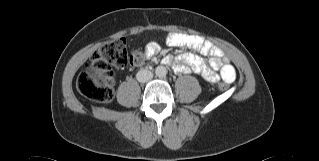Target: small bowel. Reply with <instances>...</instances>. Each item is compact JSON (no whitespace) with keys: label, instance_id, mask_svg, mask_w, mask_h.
I'll list each match as a JSON object with an SVG mask.
<instances>
[{"label":"small bowel","instance_id":"obj_1","mask_svg":"<svg viewBox=\"0 0 319 161\" xmlns=\"http://www.w3.org/2000/svg\"><path fill=\"white\" fill-rule=\"evenodd\" d=\"M167 43L171 46H187L201 55L211 56L209 65L206 64L203 58L193 53H180L174 58L166 57L164 62L171 65L175 72L189 73L193 71L212 83H216L220 79L226 82H232L234 80L236 75L234 67L224 57L223 51L211 42L197 35L170 33L167 36ZM158 50L159 46L155 41H151L146 45L148 56L157 54ZM180 64H185L186 66ZM217 70H219V74L216 72Z\"/></svg>","mask_w":319,"mask_h":161}]
</instances>
